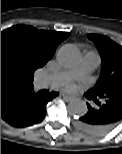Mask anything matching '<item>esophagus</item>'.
Listing matches in <instances>:
<instances>
[{
	"instance_id": "esophagus-1",
	"label": "esophagus",
	"mask_w": 122,
	"mask_h": 154,
	"mask_svg": "<svg viewBox=\"0 0 122 154\" xmlns=\"http://www.w3.org/2000/svg\"><path fill=\"white\" fill-rule=\"evenodd\" d=\"M61 96L63 97V99L65 100V101H71L72 99H73V97L72 96H70V95H68V94H66V93H61Z\"/></svg>"
}]
</instances>
